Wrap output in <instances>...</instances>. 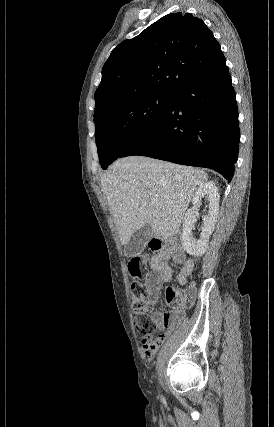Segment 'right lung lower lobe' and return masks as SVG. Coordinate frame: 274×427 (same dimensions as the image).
I'll use <instances>...</instances> for the list:
<instances>
[{
    "instance_id": "obj_1",
    "label": "right lung lower lobe",
    "mask_w": 274,
    "mask_h": 427,
    "mask_svg": "<svg viewBox=\"0 0 274 427\" xmlns=\"http://www.w3.org/2000/svg\"><path fill=\"white\" fill-rule=\"evenodd\" d=\"M239 137L236 97L225 65L176 91L163 119L119 157L142 155L206 167L230 182Z\"/></svg>"
}]
</instances>
